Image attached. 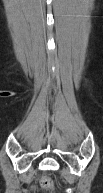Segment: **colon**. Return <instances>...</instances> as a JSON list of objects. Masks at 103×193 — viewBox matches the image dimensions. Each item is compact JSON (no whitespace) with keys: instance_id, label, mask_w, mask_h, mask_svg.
Listing matches in <instances>:
<instances>
[{"instance_id":"obj_1","label":"colon","mask_w":103,"mask_h":193,"mask_svg":"<svg viewBox=\"0 0 103 193\" xmlns=\"http://www.w3.org/2000/svg\"><path fill=\"white\" fill-rule=\"evenodd\" d=\"M41 185L44 188H50L52 186V180L49 176H41Z\"/></svg>"}]
</instances>
